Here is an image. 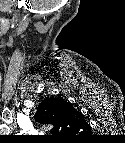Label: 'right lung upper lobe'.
I'll list each match as a JSON object with an SVG mask.
<instances>
[{"instance_id":"1","label":"right lung upper lobe","mask_w":125,"mask_h":143,"mask_svg":"<svg viewBox=\"0 0 125 143\" xmlns=\"http://www.w3.org/2000/svg\"><path fill=\"white\" fill-rule=\"evenodd\" d=\"M37 110L35 118L43 124L53 125L54 134L76 136L91 131L83 114L77 111L71 103L62 99L53 97L44 99Z\"/></svg>"}]
</instances>
